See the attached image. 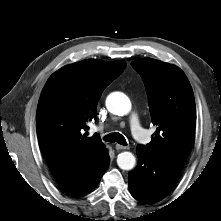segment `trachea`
Listing matches in <instances>:
<instances>
[{
	"label": "trachea",
	"instance_id": "obj_1",
	"mask_svg": "<svg viewBox=\"0 0 221 221\" xmlns=\"http://www.w3.org/2000/svg\"><path fill=\"white\" fill-rule=\"evenodd\" d=\"M106 142H117L120 145L127 146L126 139L120 133H110L104 137Z\"/></svg>",
	"mask_w": 221,
	"mask_h": 221
}]
</instances>
